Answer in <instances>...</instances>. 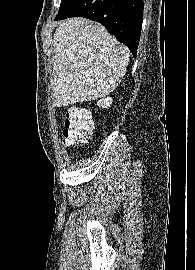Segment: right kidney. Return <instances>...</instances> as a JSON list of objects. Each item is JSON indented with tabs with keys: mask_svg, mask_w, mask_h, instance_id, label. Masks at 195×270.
Wrapping results in <instances>:
<instances>
[{
	"mask_svg": "<svg viewBox=\"0 0 195 270\" xmlns=\"http://www.w3.org/2000/svg\"><path fill=\"white\" fill-rule=\"evenodd\" d=\"M112 104V98L106 97L97 102V105L102 108H108Z\"/></svg>",
	"mask_w": 195,
	"mask_h": 270,
	"instance_id": "ca27d5eb",
	"label": "right kidney"
}]
</instances>
